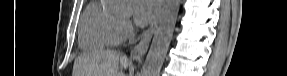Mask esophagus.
Masks as SVG:
<instances>
[{
	"label": "esophagus",
	"instance_id": "obj_1",
	"mask_svg": "<svg viewBox=\"0 0 287 76\" xmlns=\"http://www.w3.org/2000/svg\"><path fill=\"white\" fill-rule=\"evenodd\" d=\"M157 18H158V15L154 19V21L152 22V24L148 28V30L145 31L140 42L132 49V51H131V58L132 59L140 60L146 54V52L149 48L154 30H155V27H156Z\"/></svg>",
	"mask_w": 287,
	"mask_h": 76
}]
</instances>
